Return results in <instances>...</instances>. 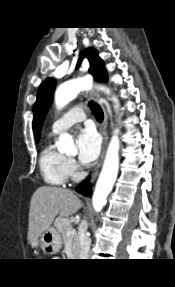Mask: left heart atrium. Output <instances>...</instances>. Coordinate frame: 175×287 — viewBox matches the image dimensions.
Masks as SVG:
<instances>
[{"label":"left heart atrium","mask_w":175,"mask_h":287,"mask_svg":"<svg viewBox=\"0 0 175 287\" xmlns=\"http://www.w3.org/2000/svg\"><path fill=\"white\" fill-rule=\"evenodd\" d=\"M78 157L84 164L97 159L100 153L101 141L98 133L92 127L82 129L77 137Z\"/></svg>","instance_id":"left-heart-atrium-1"}]
</instances>
